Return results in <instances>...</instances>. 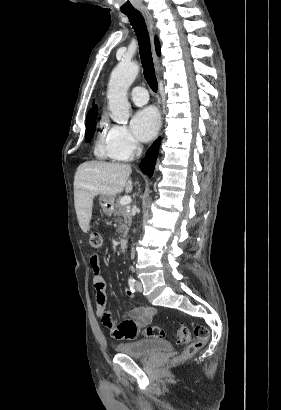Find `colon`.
Masks as SVG:
<instances>
[{"label": "colon", "instance_id": "colon-1", "mask_svg": "<svg viewBox=\"0 0 281 410\" xmlns=\"http://www.w3.org/2000/svg\"><path fill=\"white\" fill-rule=\"evenodd\" d=\"M90 245L93 248H100L102 245V236L98 232L90 234ZM108 315V314H107ZM147 337L163 339L165 331L159 326H148L145 331ZM209 331L206 327L197 325L194 328V338H191V332L188 326L181 325L175 335L176 342L184 346V351L178 359H185L194 356L199 349L207 342Z\"/></svg>", "mask_w": 281, "mask_h": 410}]
</instances>
